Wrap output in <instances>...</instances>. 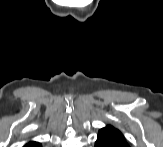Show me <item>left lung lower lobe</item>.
Wrapping results in <instances>:
<instances>
[{
    "mask_svg": "<svg viewBox=\"0 0 163 147\" xmlns=\"http://www.w3.org/2000/svg\"><path fill=\"white\" fill-rule=\"evenodd\" d=\"M95 147H129L122 133L112 126L99 130Z\"/></svg>",
    "mask_w": 163,
    "mask_h": 147,
    "instance_id": "left-lung-lower-lobe-1",
    "label": "left lung lower lobe"
}]
</instances>
